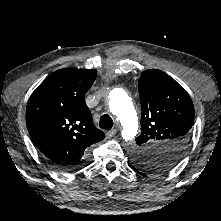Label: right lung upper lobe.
I'll return each mask as SVG.
<instances>
[{
	"instance_id": "obj_1",
	"label": "right lung upper lobe",
	"mask_w": 221,
	"mask_h": 221,
	"mask_svg": "<svg viewBox=\"0 0 221 221\" xmlns=\"http://www.w3.org/2000/svg\"><path fill=\"white\" fill-rule=\"evenodd\" d=\"M96 70L60 69L32 93L26 124L37 148L51 163H76L89 156L90 146L105 138L85 103Z\"/></svg>"
}]
</instances>
